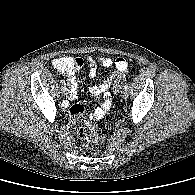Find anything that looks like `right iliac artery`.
<instances>
[{
  "label": "right iliac artery",
  "mask_w": 195,
  "mask_h": 195,
  "mask_svg": "<svg viewBox=\"0 0 195 195\" xmlns=\"http://www.w3.org/2000/svg\"><path fill=\"white\" fill-rule=\"evenodd\" d=\"M62 85H65V81L64 80H61L60 81Z\"/></svg>",
  "instance_id": "obj_1"
}]
</instances>
